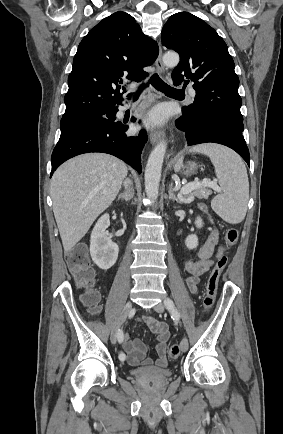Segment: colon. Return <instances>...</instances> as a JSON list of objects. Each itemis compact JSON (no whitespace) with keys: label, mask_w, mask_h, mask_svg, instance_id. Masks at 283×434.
I'll list each match as a JSON object with an SVG mask.
<instances>
[{"label":"colon","mask_w":283,"mask_h":434,"mask_svg":"<svg viewBox=\"0 0 283 434\" xmlns=\"http://www.w3.org/2000/svg\"><path fill=\"white\" fill-rule=\"evenodd\" d=\"M238 238L239 233L235 228L227 230L224 236L225 246L227 248L232 247L237 243ZM227 261L228 259L226 256L220 257L210 272L206 285V296L204 298L205 310H209L214 304L218 282L225 269ZM66 263L77 285L85 289V292L82 295L84 304L90 308L92 313H97L99 308V295L93 289L94 276L90 267L86 248L83 245H79L68 251L66 254ZM180 350L181 349L178 345H172L168 351V357L170 359L177 358L180 354Z\"/></svg>","instance_id":"5ec220e1"}]
</instances>
